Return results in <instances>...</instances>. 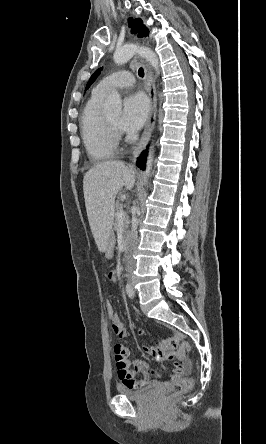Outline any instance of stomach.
I'll return each mask as SVG.
<instances>
[{"instance_id": "stomach-1", "label": "stomach", "mask_w": 266, "mask_h": 444, "mask_svg": "<svg viewBox=\"0 0 266 444\" xmlns=\"http://www.w3.org/2000/svg\"><path fill=\"white\" fill-rule=\"evenodd\" d=\"M112 243H113V238H112V236H110L109 239L106 242V247H105V252H106V256L107 257H111L112 256V254H111Z\"/></svg>"}]
</instances>
